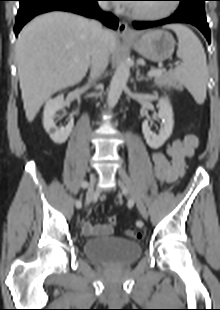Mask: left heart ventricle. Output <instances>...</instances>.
Listing matches in <instances>:
<instances>
[{
    "mask_svg": "<svg viewBox=\"0 0 220 310\" xmlns=\"http://www.w3.org/2000/svg\"><path fill=\"white\" fill-rule=\"evenodd\" d=\"M163 8H164V5L162 4L153 5V6L137 5L136 7L133 8V10L144 11L147 13H157V12H160Z\"/></svg>",
    "mask_w": 220,
    "mask_h": 310,
    "instance_id": "b2bd125f",
    "label": "left heart ventricle"
}]
</instances>
